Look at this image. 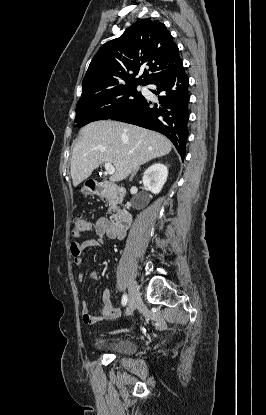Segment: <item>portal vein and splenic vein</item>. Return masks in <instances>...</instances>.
Returning <instances> with one entry per match:
<instances>
[{
    "label": "portal vein and splenic vein",
    "mask_w": 266,
    "mask_h": 415,
    "mask_svg": "<svg viewBox=\"0 0 266 415\" xmlns=\"http://www.w3.org/2000/svg\"><path fill=\"white\" fill-rule=\"evenodd\" d=\"M104 167L109 175H113L115 173V168L111 163L105 162Z\"/></svg>",
    "instance_id": "1"
}]
</instances>
